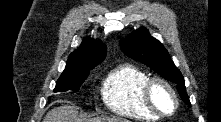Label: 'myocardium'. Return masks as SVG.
Returning a JSON list of instances; mask_svg holds the SVG:
<instances>
[{"label": "myocardium", "instance_id": "obj_1", "mask_svg": "<svg viewBox=\"0 0 221 122\" xmlns=\"http://www.w3.org/2000/svg\"><path fill=\"white\" fill-rule=\"evenodd\" d=\"M156 85H161L170 92L174 101V108L171 112L169 113L162 112L154 103L153 89ZM142 97L146 107L158 117H170L177 112L179 107V98L176 93V90L167 80L161 77H152L146 81V83L142 88Z\"/></svg>", "mask_w": 221, "mask_h": 122}]
</instances>
